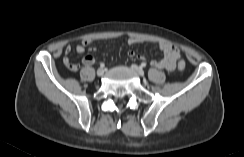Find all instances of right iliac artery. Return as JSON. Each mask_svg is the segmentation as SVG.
<instances>
[{
    "label": "right iliac artery",
    "mask_w": 244,
    "mask_h": 157,
    "mask_svg": "<svg viewBox=\"0 0 244 157\" xmlns=\"http://www.w3.org/2000/svg\"><path fill=\"white\" fill-rule=\"evenodd\" d=\"M104 66H105V64H104V63H101V64H100V67H101V68H103Z\"/></svg>",
    "instance_id": "1"
}]
</instances>
